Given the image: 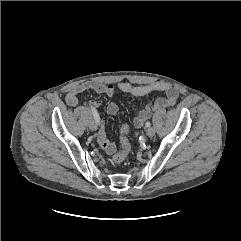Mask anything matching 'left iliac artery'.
Wrapping results in <instances>:
<instances>
[{"label": "left iliac artery", "instance_id": "obj_1", "mask_svg": "<svg viewBox=\"0 0 241 241\" xmlns=\"http://www.w3.org/2000/svg\"><path fill=\"white\" fill-rule=\"evenodd\" d=\"M151 123L150 122H146V127H150Z\"/></svg>", "mask_w": 241, "mask_h": 241}]
</instances>
